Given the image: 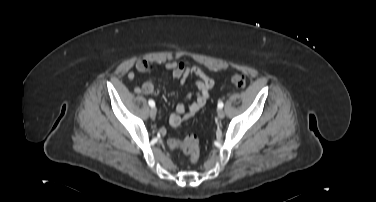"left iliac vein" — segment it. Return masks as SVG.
<instances>
[{"instance_id":"4c4485c4","label":"left iliac vein","mask_w":376,"mask_h":202,"mask_svg":"<svg viewBox=\"0 0 376 202\" xmlns=\"http://www.w3.org/2000/svg\"><path fill=\"white\" fill-rule=\"evenodd\" d=\"M217 114H218V117H219L220 119H223L224 116H225V112H224L223 109H218Z\"/></svg>"}]
</instances>
